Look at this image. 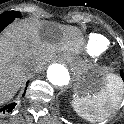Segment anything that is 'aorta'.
Instances as JSON below:
<instances>
[{
  "label": "aorta",
  "mask_w": 124,
  "mask_h": 124,
  "mask_svg": "<svg viewBox=\"0 0 124 124\" xmlns=\"http://www.w3.org/2000/svg\"><path fill=\"white\" fill-rule=\"evenodd\" d=\"M47 78L55 86H63L69 82L68 70L60 64H53L47 70Z\"/></svg>",
  "instance_id": "762f6f07"
}]
</instances>
